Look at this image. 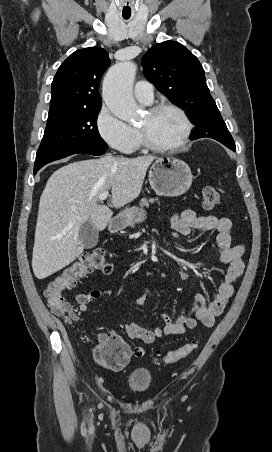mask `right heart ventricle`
<instances>
[{
    "instance_id": "1",
    "label": "right heart ventricle",
    "mask_w": 272,
    "mask_h": 452,
    "mask_svg": "<svg viewBox=\"0 0 272 452\" xmlns=\"http://www.w3.org/2000/svg\"><path fill=\"white\" fill-rule=\"evenodd\" d=\"M139 145H140V139H139V137H138V135H137V138H136V140H135L134 147H133L132 151H133L134 149H136Z\"/></svg>"
}]
</instances>
